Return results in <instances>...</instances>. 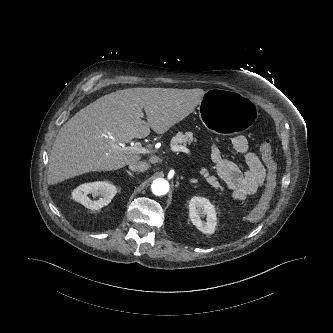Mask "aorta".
<instances>
[{
	"mask_svg": "<svg viewBox=\"0 0 333 333\" xmlns=\"http://www.w3.org/2000/svg\"><path fill=\"white\" fill-rule=\"evenodd\" d=\"M151 190L154 195L162 196L168 193L169 183L166 179L157 178L151 184Z\"/></svg>",
	"mask_w": 333,
	"mask_h": 333,
	"instance_id": "1",
	"label": "aorta"
}]
</instances>
